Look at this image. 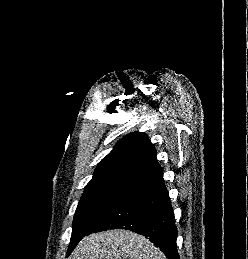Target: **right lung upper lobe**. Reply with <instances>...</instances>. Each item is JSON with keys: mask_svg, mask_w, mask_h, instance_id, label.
Segmentation results:
<instances>
[{"mask_svg": "<svg viewBox=\"0 0 248 259\" xmlns=\"http://www.w3.org/2000/svg\"><path fill=\"white\" fill-rule=\"evenodd\" d=\"M156 151L144 133H131L120 140L99 163L87 186L121 182L133 185L161 171Z\"/></svg>", "mask_w": 248, "mask_h": 259, "instance_id": "obj_1", "label": "right lung upper lobe"}]
</instances>
